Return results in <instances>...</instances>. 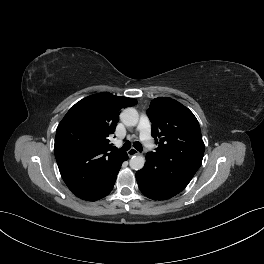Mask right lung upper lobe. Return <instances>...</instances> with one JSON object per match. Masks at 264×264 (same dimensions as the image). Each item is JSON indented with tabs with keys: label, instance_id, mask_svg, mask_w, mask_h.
I'll return each mask as SVG.
<instances>
[{
	"label": "right lung upper lobe",
	"instance_id": "1",
	"mask_svg": "<svg viewBox=\"0 0 264 264\" xmlns=\"http://www.w3.org/2000/svg\"><path fill=\"white\" fill-rule=\"evenodd\" d=\"M137 100L108 92L88 96L70 108L57 127L54 152L60 174L79 198L96 201L113 188L127 153L113 149L120 110Z\"/></svg>",
	"mask_w": 264,
	"mask_h": 264
}]
</instances>
